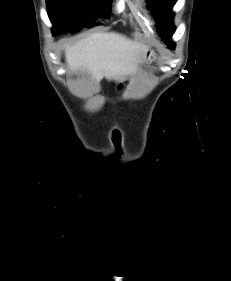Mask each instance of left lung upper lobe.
Returning a JSON list of instances; mask_svg holds the SVG:
<instances>
[{
    "mask_svg": "<svg viewBox=\"0 0 231 281\" xmlns=\"http://www.w3.org/2000/svg\"><path fill=\"white\" fill-rule=\"evenodd\" d=\"M150 7H155L156 10L153 15L156 17L158 25V33L165 40V43L170 47L174 48V43L170 41L169 37L174 32V26L172 25V19L174 13L171 12V8L176 3V0H146Z\"/></svg>",
    "mask_w": 231,
    "mask_h": 281,
    "instance_id": "5c2ea615",
    "label": "left lung upper lobe"
}]
</instances>
